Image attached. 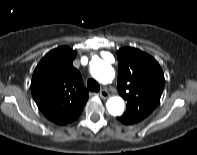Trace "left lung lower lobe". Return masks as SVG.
Segmentation results:
<instances>
[{"mask_svg":"<svg viewBox=\"0 0 197 155\" xmlns=\"http://www.w3.org/2000/svg\"><path fill=\"white\" fill-rule=\"evenodd\" d=\"M118 120L121 121L124 124H133V122L129 121L126 118H123L122 116L121 117H118Z\"/></svg>","mask_w":197,"mask_h":155,"instance_id":"1","label":"left lung lower lobe"}]
</instances>
